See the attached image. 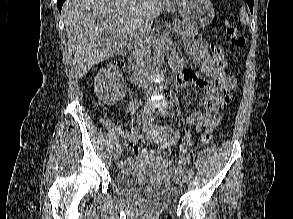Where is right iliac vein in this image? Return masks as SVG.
Returning a JSON list of instances; mask_svg holds the SVG:
<instances>
[{
	"instance_id": "63e3f726",
	"label": "right iliac vein",
	"mask_w": 293,
	"mask_h": 219,
	"mask_svg": "<svg viewBox=\"0 0 293 219\" xmlns=\"http://www.w3.org/2000/svg\"><path fill=\"white\" fill-rule=\"evenodd\" d=\"M154 112L153 107L150 104L145 105L143 113H142V119L145 120L147 118H150ZM122 152V147H118L113 152V158L114 160H117Z\"/></svg>"
}]
</instances>
